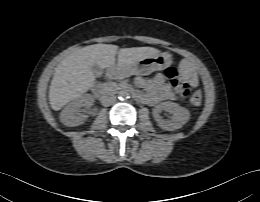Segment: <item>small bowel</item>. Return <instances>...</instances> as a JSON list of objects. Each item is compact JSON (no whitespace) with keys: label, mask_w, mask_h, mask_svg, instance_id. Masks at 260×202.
I'll return each instance as SVG.
<instances>
[{"label":"small bowel","mask_w":260,"mask_h":202,"mask_svg":"<svg viewBox=\"0 0 260 202\" xmlns=\"http://www.w3.org/2000/svg\"><path fill=\"white\" fill-rule=\"evenodd\" d=\"M136 84L146 91V94L137 92L136 97L149 105H155L163 101L174 99V94L169 85L165 82V77L162 73L156 74L151 79L138 77Z\"/></svg>","instance_id":"small-bowel-1"}]
</instances>
